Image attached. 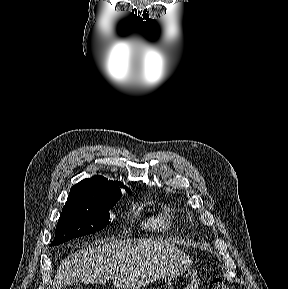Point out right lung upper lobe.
Wrapping results in <instances>:
<instances>
[{
  "mask_svg": "<svg viewBox=\"0 0 288 289\" xmlns=\"http://www.w3.org/2000/svg\"><path fill=\"white\" fill-rule=\"evenodd\" d=\"M120 187H124L127 192L130 190L125 187L121 182L108 181V179L102 176H94L91 179H84L74 185L70 190L72 196H97L101 193L118 191Z\"/></svg>",
  "mask_w": 288,
  "mask_h": 289,
  "instance_id": "obj_1",
  "label": "right lung upper lobe"
}]
</instances>
